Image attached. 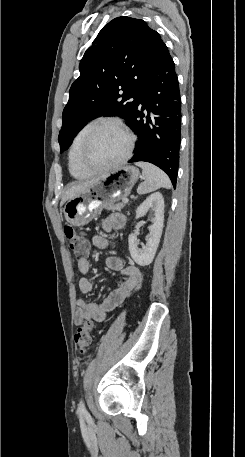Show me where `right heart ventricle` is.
<instances>
[{"label": "right heart ventricle", "instance_id": "right-heart-ventricle-1", "mask_svg": "<svg viewBox=\"0 0 245 457\" xmlns=\"http://www.w3.org/2000/svg\"><path fill=\"white\" fill-rule=\"evenodd\" d=\"M95 124V121L88 122L77 132L69 151V170L71 175L78 180H84L89 177V175L79 166L77 155L86 134Z\"/></svg>", "mask_w": 245, "mask_h": 457}]
</instances>
